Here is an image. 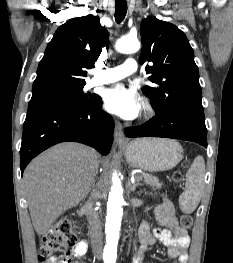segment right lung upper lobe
Listing matches in <instances>:
<instances>
[{
    "label": "right lung upper lobe",
    "mask_w": 233,
    "mask_h": 263,
    "mask_svg": "<svg viewBox=\"0 0 233 263\" xmlns=\"http://www.w3.org/2000/svg\"><path fill=\"white\" fill-rule=\"evenodd\" d=\"M107 40V30L93 15L61 25L38 65L32 96L85 85L84 69L94 67Z\"/></svg>",
    "instance_id": "1"
}]
</instances>
